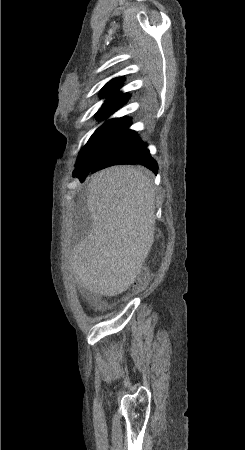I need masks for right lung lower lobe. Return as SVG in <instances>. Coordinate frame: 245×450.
I'll use <instances>...</instances> for the list:
<instances>
[{"label":"right lung lower lobe","mask_w":245,"mask_h":450,"mask_svg":"<svg viewBox=\"0 0 245 450\" xmlns=\"http://www.w3.org/2000/svg\"><path fill=\"white\" fill-rule=\"evenodd\" d=\"M141 164L155 174L158 172V165L151 157L149 150L145 144L138 138L136 133L133 138L123 147L115 152H109L103 155L98 162L90 169L76 173L73 176L78 177L81 181L85 179L89 172L94 173L107 166L116 164Z\"/></svg>","instance_id":"1"}]
</instances>
